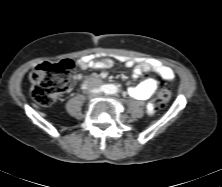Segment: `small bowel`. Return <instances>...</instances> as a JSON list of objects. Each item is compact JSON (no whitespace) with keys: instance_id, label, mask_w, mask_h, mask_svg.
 Returning a JSON list of instances; mask_svg holds the SVG:
<instances>
[{"instance_id":"small-bowel-1","label":"small bowel","mask_w":222,"mask_h":187,"mask_svg":"<svg viewBox=\"0 0 222 187\" xmlns=\"http://www.w3.org/2000/svg\"><path fill=\"white\" fill-rule=\"evenodd\" d=\"M114 61L121 62L127 67L133 69V77L138 78L145 72H152L159 75L164 80H174L176 74L174 70L154 59L143 58H130L123 55H116L114 58L108 57L105 54L87 55L77 62L78 69H108L113 66ZM77 79L81 80L82 75L78 74ZM159 86V80L155 78L147 79L139 83L135 87L129 88V94L139 100H148L153 96ZM149 112L152 111L151 107L148 108Z\"/></svg>"}]
</instances>
